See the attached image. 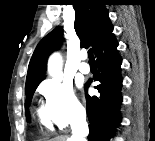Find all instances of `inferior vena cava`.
<instances>
[{"mask_svg":"<svg viewBox=\"0 0 155 141\" xmlns=\"http://www.w3.org/2000/svg\"><path fill=\"white\" fill-rule=\"evenodd\" d=\"M85 122V117H81L79 121L72 125V136L70 141H83L86 130L82 123Z\"/></svg>","mask_w":155,"mask_h":141,"instance_id":"inferior-vena-cava-1","label":"inferior vena cava"}]
</instances>
